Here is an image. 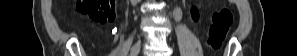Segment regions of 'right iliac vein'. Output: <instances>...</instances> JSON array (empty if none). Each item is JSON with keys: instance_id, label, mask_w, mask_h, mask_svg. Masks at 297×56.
<instances>
[{"instance_id": "obj_1", "label": "right iliac vein", "mask_w": 297, "mask_h": 56, "mask_svg": "<svg viewBox=\"0 0 297 56\" xmlns=\"http://www.w3.org/2000/svg\"><path fill=\"white\" fill-rule=\"evenodd\" d=\"M140 47H141V42H140V41H139V42H136V43L132 46V48H131V50H130V55H131V56H137L138 53H139V51H140Z\"/></svg>"}]
</instances>
